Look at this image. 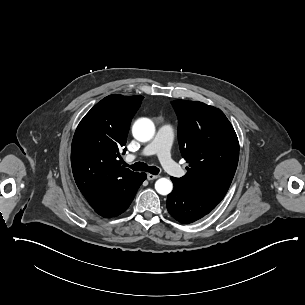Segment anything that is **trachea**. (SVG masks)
Wrapping results in <instances>:
<instances>
[{
	"label": "trachea",
	"instance_id": "1",
	"mask_svg": "<svg viewBox=\"0 0 305 305\" xmlns=\"http://www.w3.org/2000/svg\"><path fill=\"white\" fill-rule=\"evenodd\" d=\"M125 166L130 167L134 171H147L153 175H157L160 172V169L156 166H148L144 162H136L135 164L128 165L125 163Z\"/></svg>",
	"mask_w": 305,
	"mask_h": 305
}]
</instances>
